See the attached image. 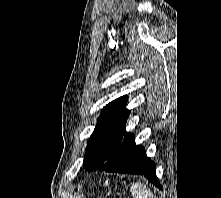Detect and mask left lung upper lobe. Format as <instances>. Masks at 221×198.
Instances as JSON below:
<instances>
[{"mask_svg": "<svg viewBox=\"0 0 221 198\" xmlns=\"http://www.w3.org/2000/svg\"><path fill=\"white\" fill-rule=\"evenodd\" d=\"M127 96L120 97L104 107L98 123L87 143L83 167L99 170L110 156L132 134L126 132L129 111L125 109Z\"/></svg>", "mask_w": 221, "mask_h": 198, "instance_id": "obj_1", "label": "left lung upper lobe"}]
</instances>
